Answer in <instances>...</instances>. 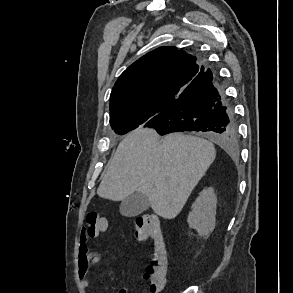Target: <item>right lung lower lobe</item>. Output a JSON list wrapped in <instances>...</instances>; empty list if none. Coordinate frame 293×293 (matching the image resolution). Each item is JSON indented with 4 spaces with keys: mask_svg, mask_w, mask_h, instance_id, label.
Here are the masks:
<instances>
[{
    "mask_svg": "<svg viewBox=\"0 0 293 293\" xmlns=\"http://www.w3.org/2000/svg\"><path fill=\"white\" fill-rule=\"evenodd\" d=\"M144 127L155 128L162 135L205 132L225 145L237 140L233 108L218 88L217 76L210 69L199 73L167 110L151 118Z\"/></svg>",
    "mask_w": 293,
    "mask_h": 293,
    "instance_id": "obj_1",
    "label": "right lung lower lobe"
}]
</instances>
